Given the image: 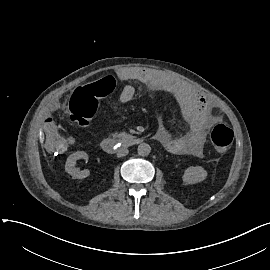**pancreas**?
<instances>
[{
    "label": "pancreas",
    "instance_id": "pancreas-1",
    "mask_svg": "<svg viewBox=\"0 0 270 270\" xmlns=\"http://www.w3.org/2000/svg\"><path fill=\"white\" fill-rule=\"evenodd\" d=\"M123 135H125V133H123V132H120V133L114 132V133L112 134V137H119V138H121V137H123Z\"/></svg>",
    "mask_w": 270,
    "mask_h": 270
}]
</instances>
